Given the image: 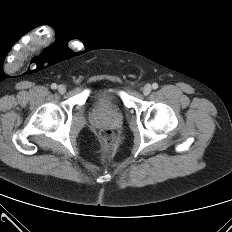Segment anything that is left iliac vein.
Returning <instances> with one entry per match:
<instances>
[{"instance_id": "obj_1", "label": "left iliac vein", "mask_w": 232, "mask_h": 232, "mask_svg": "<svg viewBox=\"0 0 232 232\" xmlns=\"http://www.w3.org/2000/svg\"><path fill=\"white\" fill-rule=\"evenodd\" d=\"M151 90H152V87L150 84H146L142 89L144 95H149Z\"/></svg>"}]
</instances>
